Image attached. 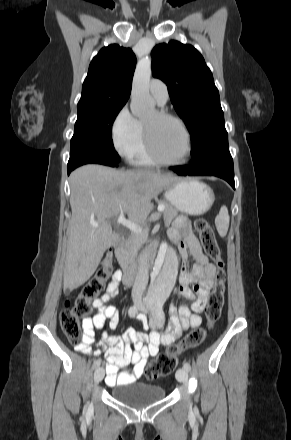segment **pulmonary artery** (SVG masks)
Wrapping results in <instances>:
<instances>
[{
    "mask_svg": "<svg viewBox=\"0 0 291 440\" xmlns=\"http://www.w3.org/2000/svg\"><path fill=\"white\" fill-rule=\"evenodd\" d=\"M150 92L155 97L159 105H164L169 97L167 85L159 79H152L150 82Z\"/></svg>",
    "mask_w": 291,
    "mask_h": 440,
    "instance_id": "pulmonary-artery-1",
    "label": "pulmonary artery"
}]
</instances>
